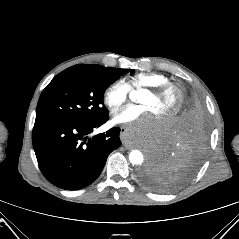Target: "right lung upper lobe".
Returning a JSON list of instances; mask_svg holds the SVG:
<instances>
[{
    "mask_svg": "<svg viewBox=\"0 0 239 239\" xmlns=\"http://www.w3.org/2000/svg\"><path fill=\"white\" fill-rule=\"evenodd\" d=\"M72 67L76 69H80V70H86V71H108L113 69L111 67H104L97 64H78Z\"/></svg>",
    "mask_w": 239,
    "mask_h": 239,
    "instance_id": "1",
    "label": "right lung upper lobe"
}]
</instances>
